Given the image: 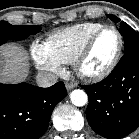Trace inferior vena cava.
<instances>
[{"mask_svg": "<svg viewBox=\"0 0 139 139\" xmlns=\"http://www.w3.org/2000/svg\"><path fill=\"white\" fill-rule=\"evenodd\" d=\"M57 79V75L50 72H39L36 77L38 86L45 88L54 85Z\"/></svg>", "mask_w": 139, "mask_h": 139, "instance_id": "inferior-vena-cava-1", "label": "inferior vena cava"}]
</instances>
